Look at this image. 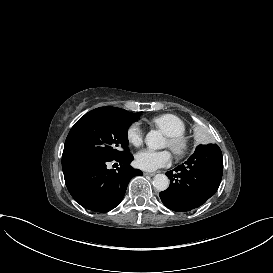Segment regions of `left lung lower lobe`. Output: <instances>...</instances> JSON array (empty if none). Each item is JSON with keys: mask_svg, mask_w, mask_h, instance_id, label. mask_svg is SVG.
<instances>
[{"mask_svg": "<svg viewBox=\"0 0 273 273\" xmlns=\"http://www.w3.org/2000/svg\"><path fill=\"white\" fill-rule=\"evenodd\" d=\"M222 174L223 159L218 145H199L184 164L166 173L170 186L160 192V198L173 211L198 208L216 193Z\"/></svg>", "mask_w": 273, "mask_h": 273, "instance_id": "0a47b994", "label": "left lung lower lobe"}]
</instances>
